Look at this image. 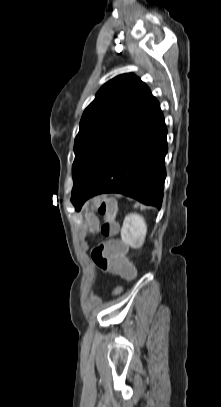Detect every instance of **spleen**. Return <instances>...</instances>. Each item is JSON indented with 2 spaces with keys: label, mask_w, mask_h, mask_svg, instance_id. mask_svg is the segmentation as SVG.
<instances>
[{
  "label": "spleen",
  "mask_w": 221,
  "mask_h": 407,
  "mask_svg": "<svg viewBox=\"0 0 221 407\" xmlns=\"http://www.w3.org/2000/svg\"><path fill=\"white\" fill-rule=\"evenodd\" d=\"M146 234L147 224L141 215L132 213L125 217L121 229L123 242L132 248H140L145 241Z\"/></svg>",
  "instance_id": "obj_1"
}]
</instances>
